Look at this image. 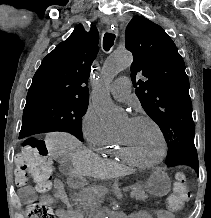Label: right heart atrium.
Returning <instances> with one entry per match:
<instances>
[{
  "mask_svg": "<svg viewBox=\"0 0 211 218\" xmlns=\"http://www.w3.org/2000/svg\"><path fill=\"white\" fill-rule=\"evenodd\" d=\"M81 131L88 144L94 149H98L114 136L106 129L100 115L91 107L87 108L82 116Z\"/></svg>",
  "mask_w": 211,
  "mask_h": 218,
  "instance_id": "d8ad5b80",
  "label": "right heart atrium"
}]
</instances>
